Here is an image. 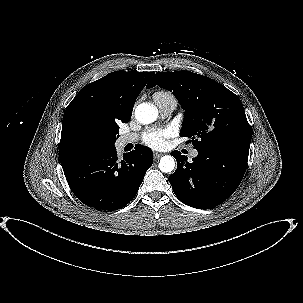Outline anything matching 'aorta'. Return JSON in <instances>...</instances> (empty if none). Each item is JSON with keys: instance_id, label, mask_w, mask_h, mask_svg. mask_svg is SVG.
I'll return each mask as SVG.
<instances>
[{"instance_id": "762f6f07", "label": "aorta", "mask_w": 303, "mask_h": 303, "mask_svg": "<svg viewBox=\"0 0 303 303\" xmlns=\"http://www.w3.org/2000/svg\"><path fill=\"white\" fill-rule=\"evenodd\" d=\"M158 110L154 105L148 103L139 104L135 109V117L142 124H150L157 119ZM175 167L174 158L170 155L161 157L159 169L168 173L173 171Z\"/></svg>"}]
</instances>
